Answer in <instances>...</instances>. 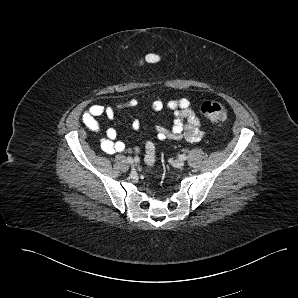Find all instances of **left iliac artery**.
I'll return each mask as SVG.
<instances>
[{
  "instance_id": "left-iliac-artery-1",
  "label": "left iliac artery",
  "mask_w": 298,
  "mask_h": 298,
  "mask_svg": "<svg viewBox=\"0 0 298 298\" xmlns=\"http://www.w3.org/2000/svg\"><path fill=\"white\" fill-rule=\"evenodd\" d=\"M179 159L184 161L187 159V157L186 155L182 154V155H179Z\"/></svg>"
}]
</instances>
